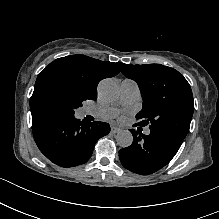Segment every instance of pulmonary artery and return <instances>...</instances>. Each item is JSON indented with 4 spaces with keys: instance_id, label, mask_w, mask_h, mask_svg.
Instances as JSON below:
<instances>
[{
    "instance_id": "pulmonary-artery-1",
    "label": "pulmonary artery",
    "mask_w": 219,
    "mask_h": 219,
    "mask_svg": "<svg viewBox=\"0 0 219 219\" xmlns=\"http://www.w3.org/2000/svg\"><path fill=\"white\" fill-rule=\"evenodd\" d=\"M140 95L139 85L132 79H124L120 84V101L122 105H128L135 102ZM118 110L112 107L101 109L84 108L82 116L90 115L98 120L106 121L116 116ZM150 130L146 129L145 134H149Z\"/></svg>"
}]
</instances>
